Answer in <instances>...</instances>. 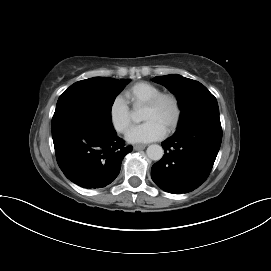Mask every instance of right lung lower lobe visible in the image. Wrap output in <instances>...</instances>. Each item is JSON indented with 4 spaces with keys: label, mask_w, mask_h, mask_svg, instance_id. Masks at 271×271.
Listing matches in <instances>:
<instances>
[{
    "label": "right lung lower lobe",
    "mask_w": 271,
    "mask_h": 271,
    "mask_svg": "<svg viewBox=\"0 0 271 271\" xmlns=\"http://www.w3.org/2000/svg\"><path fill=\"white\" fill-rule=\"evenodd\" d=\"M56 159L65 176L84 188H102L119 174L121 161L132 147L112 126L93 120L52 133Z\"/></svg>",
    "instance_id": "1"
}]
</instances>
